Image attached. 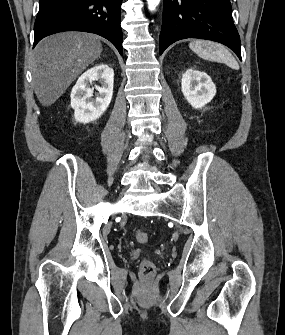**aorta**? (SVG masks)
<instances>
[{"label":"aorta","instance_id":"aorta-1","mask_svg":"<svg viewBox=\"0 0 285 335\" xmlns=\"http://www.w3.org/2000/svg\"><path fill=\"white\" fill-rule=\"evenodd\" d=\"M161 0H147L148 10L155 12L157 6H159Z\"/></svg>","mask_w":285,"mask_h":335}]
</instances>
